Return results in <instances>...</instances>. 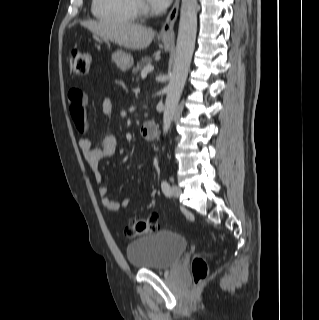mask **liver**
Returning <instances> with one entry per match:
<instances>
[{
  "label": "liver",
  "mask_w": 319,
  "mask_h": 320,
  "mask_svg": "<svg viewBox=\"0 0 319 320\" xmlns=\"http://www.w3.org/2000/svg\"><path fill=\"white\" fill-rule=\"evenodd\" d=\"M81 25L92 33L132 50L147 48L155 32L131 22L83 21Z\"/></svg>",
  "instance_id": "liver-1"
}]
</instances>
